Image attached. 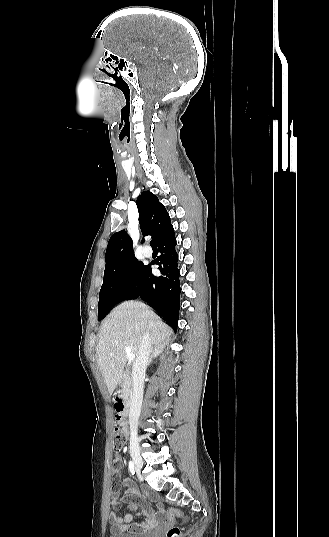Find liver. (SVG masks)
Instances as JSON below:
<instances>
[{
  "label": "liver",
  "instance_id": "6515ba94",
  "mask_svg": "<svg viewBox=\"0 0 329 537\" xmlns=\"http://www.w3.org/2000/svg\"><path fill=\"white\" fill-rule=\"evenodd\" d=\"M146 332L150 334L151 344L160 348L173 333L158 315L140 302L120 304L102 322L96 358L110 396L123 377L128 359L125 346H130L137 356Z\"/></svg>",
  "mask_w": 329,
  "mask_h": 537
}]
</instances>
